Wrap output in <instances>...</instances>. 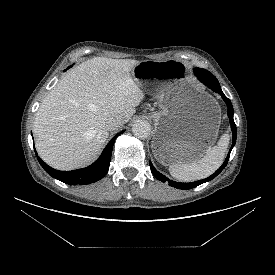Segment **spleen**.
<instances>
[{
  "mask_svg": "<svg viewBox=\"0 0 275 275\" xmlns=\"http://www.w3.org/2000/svg\"><path fill=\"white\" fill-rule=\"evenodd\" d=\"M228 144L229 135L225 133L221 136L217 145L210 149L203 158L187 164H171L169 166L171 176L183 182H191L208 177L221 166Z\"/></svg>",
  "mask_w": 275,
  "mask_h": 275,
  "instance_id": "1",
  "label": "spleen"
}]
</instances>
